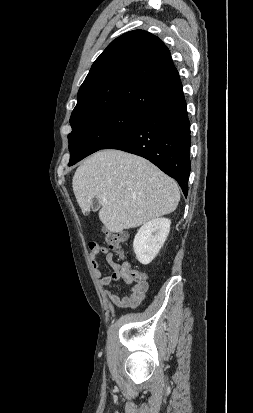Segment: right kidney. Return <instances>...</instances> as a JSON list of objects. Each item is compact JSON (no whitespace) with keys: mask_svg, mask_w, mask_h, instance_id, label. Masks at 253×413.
I'll return each mask as SVG.
<instances>
[{"mask_svg":"<svg viewBox=\"0 0 253 413\" xmlns=\"http://www.w3.org/2000/svg\"><path fill=\"white\" fill-rule=\"evenodd\" d=\"M171 220L157 218L144 224L135 235L133 249L137 260L147 265L158 254L170 231Z\"/></svg>","mask_w":253,"mask_h":413,"instance_id":"right-kidney-1","label":"right kidney"}]
</instances>
